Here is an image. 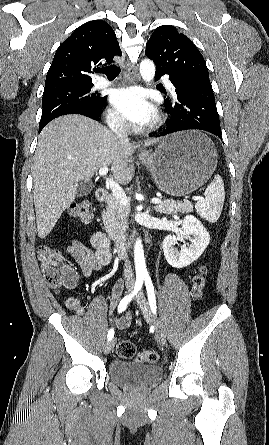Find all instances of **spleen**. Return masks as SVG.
<instances>
[{"label":"spleen","mask_w":269,"mask_h":445,"mask_svg":"<svg viewBox=\"0 0 269 445\" xmlns=\"http://www.w3.org/2000/svg\"><path fill=\"white\" fill-rule=\"evenodd\" d=\"M224 199L223 180L220 175H215L204 192V198L195 204V209L203 219L215 223L221 215Z\"/></svg>","instance_id":"1"}]
</instances>
